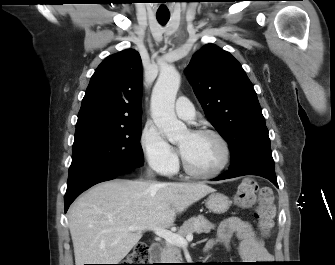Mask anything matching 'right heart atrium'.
<instances>
[{
	"mask_svg": "<svg viewBox=\"0 0 335 265\" xmlns=\"http://www.w3.org/2000/svg\"><path fill=\"white\" fill-rule=\"evenodd\" d=\"M140 144L145 160L153 170L162 175L175 171L177 156L153 123L148 122L144 126Z\"/></svg>",
	"mask_w": 335,
	"mask_h": 265,
	"instance_id": "obj_1",
	"label": "right heart atrium"
}]
</instances>
